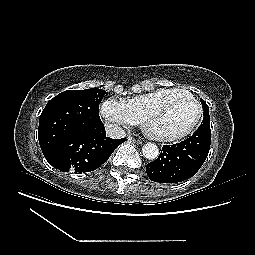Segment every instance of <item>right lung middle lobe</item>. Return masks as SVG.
<instances>
[{
  "label": "right lung middle lobe",
  "instance_id": "right-lung-middle-lobe-1",
  "mask_svg": "<svg viewBox=\"0 0 255 255\" xmlns=\"http://www.w3.org/2000/svg\"><path fill=\"white\" fill-rule=\"evenodd\" d=\"M106 92L92 88L69 90L51 99L40 115L38 137L42 152L72 130L98 131L103 126L99 104Z\"/></svg>",
  "mask_w": 255,
  "mask_h": 255
}]
</instances>
